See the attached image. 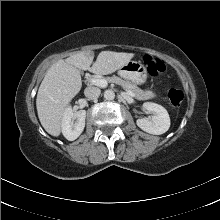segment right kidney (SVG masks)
Listing matches in <instances>:
<instances>
[{
    "label": "right kidney",
    "instance_id": "ca27d5eb",
    "mask_svg": "<svg viewBox=\"0 0 220 220\" xmlns=\"http://www.w3.org/2000/svg\"><path fill=\"white\" fill-rule=\"evenodd\" d=\"M85 118V110L74 112L70 107L66 109L62 118L61 127L62 133L67 140L73 141L80 136L85 127ZM75 119L76 122L73 123Z\"/></svg>",
    "mask_w": 220,
    "mask_h": 220
}]
</instances>
